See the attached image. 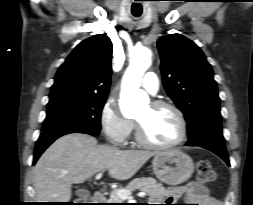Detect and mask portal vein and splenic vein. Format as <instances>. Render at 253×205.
<instances>
[{"label": "portal vein and splenic vein", "mask_w": 253, "mask_h": 205, "mask_svg": "<svg viewBox=\"0 0 253 205\" xmlns=\"http://www.w3.org/2000/svg\"><path fill=\"white\" fill-rule=\"evenodd\" d=\"M102 172L98 173L96 175V179H99L101 176H102ZM116 195L121 199V200H127V199H130L131 198V192L128 191V190H117L116 191ZM139 197H145L146 196V193L145 192H140L137 194Z\"/></svg>", "instance_id": "portal-vein-and-splenic-vein-1"}]
</instances>
